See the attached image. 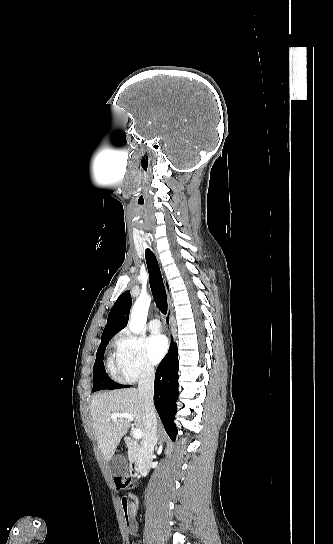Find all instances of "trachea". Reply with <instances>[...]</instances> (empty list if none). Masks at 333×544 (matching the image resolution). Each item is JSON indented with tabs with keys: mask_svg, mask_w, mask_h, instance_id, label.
I'll return each instance as SVG.
<instances>
[{
	"mask_svg": "<svg viewBox=\"0 0 333 544\" xmlns=\"http://www.w3.org/2000/svg\"><path fill=\"white\" fill-rule=\"evenodd\" d=\"M146 264L149 272L150 287L157 308L162 314L167 313V297L162 274L154 253L150 249L145 252Z\"/></svg>",
	"mask_w": 333,
	"mask_h": 544,
	"instance_id": "1",
	"label": "trachea"
}]
</instances>
